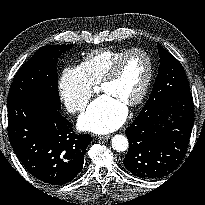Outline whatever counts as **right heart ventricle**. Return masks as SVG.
<instances>
[{"label": "right heart ventricle", "mask_w": 205, "mask_h": 205, "mask_svg": "<svg viewBox=\"0 0 205 205\" xmlns=\"http://www.w3.org/2000/svg\"><path fill=\"white\" fill-rule=\"evenodd\" d=\"M128 50L101 49L88 53L81 63L87 79L92 85L99 84L112 64Z\"/></svg>", "instance_id": "right-heart-ventricle-1"}]
</instances>
